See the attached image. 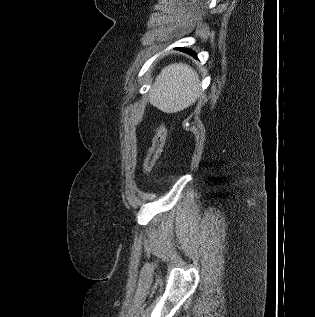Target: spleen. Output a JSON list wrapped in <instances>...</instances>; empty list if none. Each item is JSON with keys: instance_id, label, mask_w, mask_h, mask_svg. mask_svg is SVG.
<instances>
[{"instance_id": "obj_1", "label": "spleen", "mask_w": 315, "mask_h": 317, "mask_svg": "<svg viewBox=\"0 0 315 317\" xmlns=\"http://www.w3.org/2000/svg\"><path fill=\"white\" fill-rule=\"evenodd\" d=\"M200 93L199 75L184 63L164 67L149 92L152 105L165 113L182 111L196 102Z\"/></svg>"}]
</instances>
